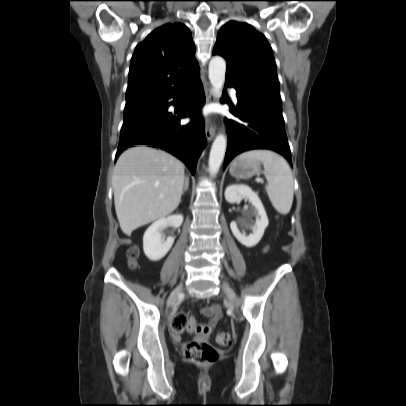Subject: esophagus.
Wrapping results in <instances>:
<instances>
[{
	"instance_id": "1",
	"label": "esophagus",
	"mask_w": 406,
	"mask_h": 406,
	"mask_svg": "<svg viewBox=\"0 0 406 406\" xmlns=\"http://www.w3.org/2000/svg\"><path fill=\"white\" fill-rule=\"evenodd\" d=\"M205 96H206V103H212L215 101V95H214L213 89L211 88V86L208 83L205 84ZM215 132H216L215 124L210 121H207L206 126H205V135L209 142L214 138Z\"/></svg>"
}]
</instances>
